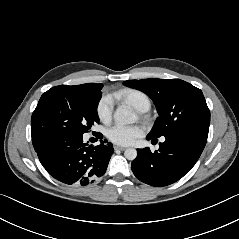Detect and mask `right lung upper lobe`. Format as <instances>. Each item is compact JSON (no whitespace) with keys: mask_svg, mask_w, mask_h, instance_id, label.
<instances>
[{"mask_svg":"<svg viewBox=\"0 0 239 239\" xmlns=\"http://www.w3.org/2000/svg\"><path fill=\"white\" fill-rule=\"evenodd\" d=\"M80 86L89 87V88H101V89L103 87L102 84H96V83H88V84H83V85H80Z\"/></svg>","mask_w":239,"mask_h":239,"instance_id":"obj_1","label":"right lung upper lobe"}]
</instances>
